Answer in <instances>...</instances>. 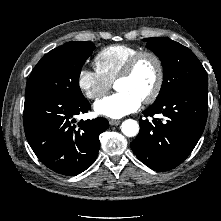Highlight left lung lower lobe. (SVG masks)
<instances>
[{
    "mask_svg": "<svg viewBox=\"0 0 221 221\" xmlns=\"http://www.w3.org/2000/svg\"><path fill=\"white\" fill-rule=\"evenodd\" d=\"M207 104V85L185 87L152 104L143 114H162L166 121L140 120V132L130 143L135 155L155 171H168L180 165L203 133Z\"/></svg>",
    "mask_w": 221,
    "mask_h": 221,
    "instance_id": "1",
    "label": "left lung lower lobe"
}]
</instances>
